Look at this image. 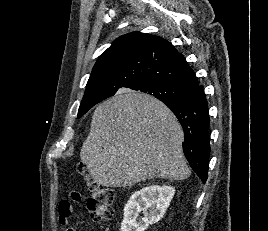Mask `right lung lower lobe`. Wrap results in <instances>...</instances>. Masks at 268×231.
Instances as JSON below:
<instances>
[{
    "mask_svg": "<svg viewBox=\"0 0 268 231\" xmlns=\"http://www.w3.org/2000/svg\"><path fill=\"white\" fill-rule=\"evenodd\" d=\"M180 121L185 139L184 154L203 183L207 180L210 156L208 102L201 85H197L183 101H163Z\"/></svg>",
    "mask_w": 268,
    "mask_h": 231,
    "instance_id": "obj_1",
    "label": "right lung lower lobe"
}]
</instances>
